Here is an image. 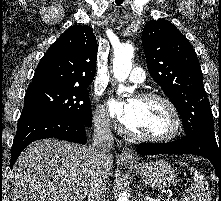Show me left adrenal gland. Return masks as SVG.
<instances>
[{
	"mask_svg": "<svg viewBox=\"0 0 221 201\" xmlns=\"http://www.w3.org/2000/svg\"><path fill=\"white\" fill-rule=\"evenodd\" d=\"M139 201H146V200L143 197H139Z\"/></svg>",
	"mask_w": 221,
	"mask_h": 201,
	"instance_id": "obj_1",
	"label": "left adrenal gland"
}]
</instances>
